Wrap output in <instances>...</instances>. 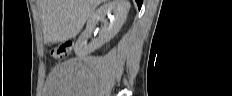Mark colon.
<instances>
[{
	"label": "colon",
	"instance_id": "colon-1",
	"mask_svg": "<svg viewBox=\"0 0 232 96\" xmlns=\"http://www.w3.org/2000/svg\"><path fill=\"white\" fill-rule=\"evenodd\" d=\"M74 43L71 40H67L60 45L52 49L51 54L58 59L66 58L72 51Z\"/></svg>",
	"mask_w": 232,
	"mask_h": 96
}]
</instances>
